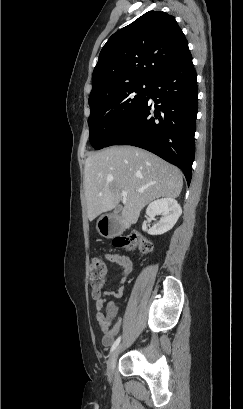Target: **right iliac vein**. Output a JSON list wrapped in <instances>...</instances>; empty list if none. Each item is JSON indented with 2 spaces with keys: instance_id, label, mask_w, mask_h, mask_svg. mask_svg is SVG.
<instances>
[{
  "instance_id": "obj_1",
  "label": "right iliac vein",
  "mask_w": 243,
  "mask_h": 409,
  "mask_svg": "<svg viewBox=\"0 0 243 409\" xmlns=\"http://www.w3.org/2000/svg\"><path fill=\"white\" fill-rule=\"evenodd\" d=\"M120 348H121V346L117 347L116 350L110 355V357L108 359V362H107V376H108V378H111V376L113 374Z\"/></svg>"
}]
</instances>
